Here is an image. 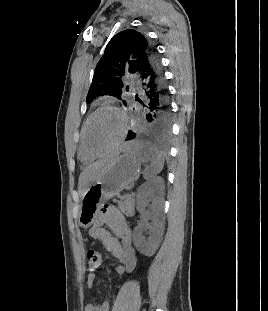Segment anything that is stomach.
<instances>
[{
    "mask_svg": "<svg viewBox=\"0 0 268 311\" xmlns=\"http://www.w3.org/2000/svg\"><path fill=\"white\" fill-rule=\"evenodd\" d=\"M147 154V145L125 147L123 154L115 157L105 171L85 190L79 206L78 224L89 228L102 204L118 195L140 176L142 158Z\"/></svg>",
    "mask_w": 268,
    "mask_h": 311,
    "instance_id": "0dacf381",
    "label": "stomach"
}]
</instances>
